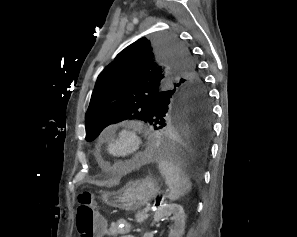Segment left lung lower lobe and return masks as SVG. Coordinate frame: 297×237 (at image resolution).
I'll return each instance as SVG.
<instances>
[{
  "label": "left lung lower lobe",
  "instance_id": "left-lung-lower-lobe-1",
  "mask_svg": "<svg viewBox=\"0 0 297 237\" xmlns=\"http://www.w3.org/2000/svg\"><path fill=\"white\" fill-rule=\"evenodd\" d=\"M166 114L164 122L158 123L159 132L148 145L147 154L184 166H199L207 156L211 138L210 102L174 103Z\"/></svg>",
  "mask_w": 297,
  "mask_h": 237
}]
</instances>
